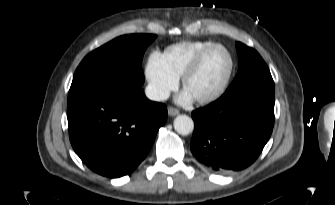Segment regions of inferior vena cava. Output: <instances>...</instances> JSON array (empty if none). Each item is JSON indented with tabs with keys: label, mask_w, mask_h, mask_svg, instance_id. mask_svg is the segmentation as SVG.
Instances as JSON below:
<instances>
[{
	"label": "inferior vena cava",
	"mask_w": 335,
	"mask_h": 205,
	"mask_svg": "<svg viewBox=\"0 0 335 205\" xmlns=\"http://www.w3.org/2000/svg\"><path fill=\"white\" fill-rule=\"evenodd\" d=\"M147 98L153 101H163L169 97L167 90L158 89L154 86L148 85L145 89Z\"/></svg>",
	"instance_id": "obj_1"
}]
</instances>
